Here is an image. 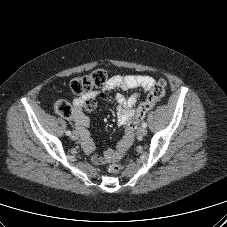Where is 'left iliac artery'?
<instances>
[{
    "label": "left iliac artery",
    "mask_w": 227,
    "mask_h": 227,
    "mask_svg": "<svg viewBox=\"0 0 227 227\" xmlns=\"http://www.w3.org/2000/svg\"><path fill=\"white\" fill-rule=\"evenodd\" d=\"M142 127L146 128L147 127V123L146 122H143L142 123Z\"/></svg>",
    "instance_id": "obj_1"
}]
</instances>
